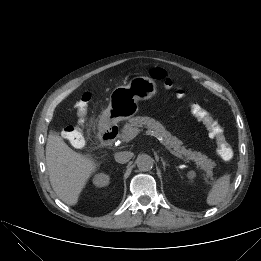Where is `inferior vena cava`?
Wrapping results in <instances>:
<instances>
[{
	"mask_svg": "<svg viewBox=\"0 0 261 261\" xmlns=\"http://www.w3.org/2000/svg\"><path fill=\"white\" fill-rule=\"evenodd\" d=\"M133 154L131 152L128 151H122V152H118L115 154V160L116 162L120 163V164H124L127 163L131 158H132Z\"/></svg>",
	"mask_w": 261,
	"mask_h": 261,
	"instance_id": "inferior-vena-cava-1",
	"label": "inferior vena cava"
}]
</instances>
